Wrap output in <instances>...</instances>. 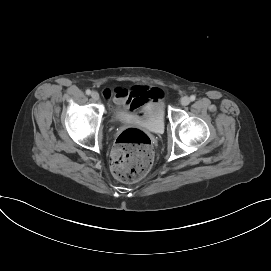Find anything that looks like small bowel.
<instances>
[{
    "instance_id": "c3829d8e",
    "label": "small bowel",
    "mask_w": 271,
    "mask_h": 271,
    "mask_svg": "<svg viewBox=\"0 0 271 271\" xmlns=\"http://www.w3.org/2000/svg\"><path fill=\"white\" fill-rule=\"evenodd\" d=\"M103 94L106 99L131 112L142 113L145 105L157 104L163 97L161 89L149 86H136L131 90L118 88L115 91L105 89Z\"/></svg>"
}]
</instances>
